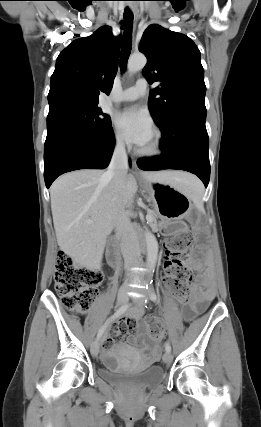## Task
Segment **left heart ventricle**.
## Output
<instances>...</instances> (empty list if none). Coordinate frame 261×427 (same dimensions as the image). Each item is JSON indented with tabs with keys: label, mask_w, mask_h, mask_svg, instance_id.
<instances>
[{
	"label": "left heart ventricle",
	"mask_w": 261,
	"mask_h": 427,
	"mask_svg": "<svg viewBox=\"0 0 261 427\" xmlns=\"http://www.w3.org/2000/svg\"><path fill=\"white\" fill-rule=\"evenodd\" d=\"M151 143H152V135H151L150 139L146 142V144L144 146H142V148L149 147L151 145Z\"/></svg>",
	"instance_id": "obj_1"
}]
</instances>
